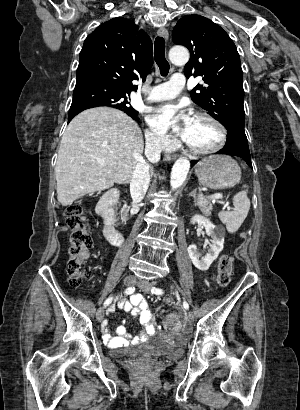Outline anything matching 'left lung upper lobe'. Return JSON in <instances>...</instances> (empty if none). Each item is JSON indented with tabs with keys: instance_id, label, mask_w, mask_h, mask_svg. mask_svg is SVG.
Masks as SVG:
<instances>
[{
	"instance_id": "obj_1",
	"label": "left lung upper lobe",
	"mask_w": 300,
	"mask_h": 410,
	"mask_svg": "<svg viewBox=\"0 0 300 410\" xmlns=\"http://www.w3.org/2000/svg\"><path fill=\"white\" fill-rule=\"evenodd\" d=\"M172 40L190 51L184 74L203 77L205 85L191 91L192 100L226 129L244 131L243 74L236 46L217 24L200 15L181 18Z\"/></svg>"
}]
</instances>
